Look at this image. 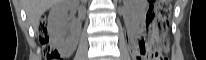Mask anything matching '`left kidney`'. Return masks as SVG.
Returning a JSON list of instances; mask_svg holds the SVG:
<instances>
[{"mask_svg":"<svg viewBox=\"0 0 206 60\" xmlns=\"http://www.w3.org/2000/svg\"><path fill=\"white\" fill-rule=\"evenodd\" d=\"M146 2L145 0H133L127 8L125 16L129 31L133 36H139L143 31L145 22Z\"/></svg>","mask_w":206,"mask_h":60,"instance_id":"left-kidney-1","label":"left kidney"}]
</instances>
